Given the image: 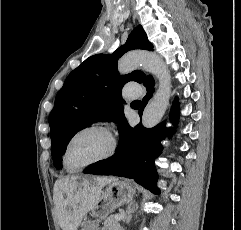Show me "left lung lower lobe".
<instances>
[{
    "label": "left lung lower lobe",
    "mask_w": 241,
    "mask_h": 230,
    "mask_svg": "<svg viewBox=\"0 0 241 230\" xmlns=\"http://www.w3.org/2000/svg\"><path fill=\"white\" fill-rule=\"evenodd\" d=\"M147 87V95L142 100L139 115L142 116L144 107L154 91V81L148 76L143 83ZM171 112L173 123L178 119V103L175 102ZM119 144L116 153L109 159L99 161L83 173L96 175H115L134 179L146 189L158 192L156 180L158 178L154 166L155 158L161 154V140L171 133L164 123L151 129L144 128L141 123L132 128L126 118L118 126Z\"/></svg>",
    "instance_id": "obj_1"
}]
</instances>
